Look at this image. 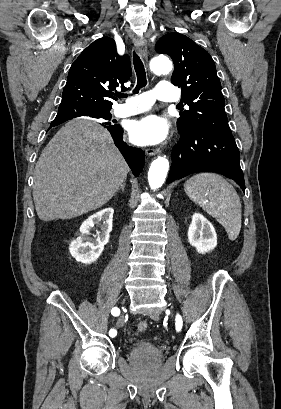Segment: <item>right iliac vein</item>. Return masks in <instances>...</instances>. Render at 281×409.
Wrapping results in <instances>:
<instances>
[{"instance_id":"obj_1","label":"right iliac vein","mask_w":281,"mask_h":409,"mask_svg":"<svg viewBox=\"0 0 281 409\" xmlns=\"http://www.w3.org/2000/svg\"><path fill=\"white\" fill-rule=\"evenodd\" d=\"M123 324V316H120L118 319V326H121Z\"/></svg>"}]
</instances>
